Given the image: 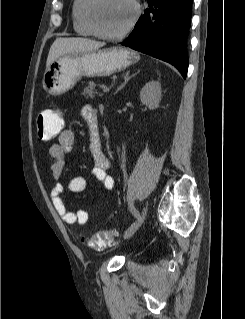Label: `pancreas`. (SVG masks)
<instances>
[{
    "label": "pancreas",
    "mask_w": 245,
    "mask_h": 319,
    "mask_svg": "<svg viewBox=\"0 0 245 319\" xmlns=\"http://www.w3.org/2000/svg\"><path fill=\"white\" fill-rule=\"evenodd\" d=\"M96 86L97 85L93 81H90L88 83V86L84 88L82 95L87 99H93L95 97V94H98Z\"/></svg>",
    "instance_id": "1"
}]
</instances>
